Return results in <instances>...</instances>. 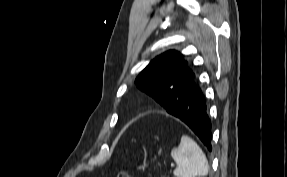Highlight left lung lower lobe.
<instances>
[{
    "label": "left lung lower lobe",
    "mask_w": 287,
    "mask_h": 177,
    "mask_svg": "<svg viewBox=\"0 0 287 177\" xmlns=\"http://www.w3.org/2000/svg\"><path fill=\"white\" fill-rule=\"evenodd\" d=\"M170 114L186 123L200 138L209 151L211 146V123L206 104L197 84L186 87L169 99Z\"/></svg>",
    "instance_id": "0a47b994"
}]
</instances>
